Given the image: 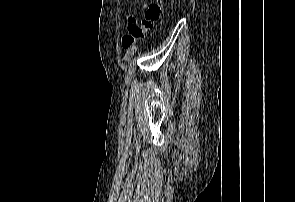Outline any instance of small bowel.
<instances>
[{
    "label": "small bowel",
    "mask_w": 295,
    "mask_h": 202,
    "mask_svg": "<svg viewBox=\"0 0 295 202\" xmlns=\"http://www.w3.org/2000/svg\"><path fill=\"white\" fill-rule=\"evenodd\" d=\"M147 6H148L147 3H142L139 6H137V9H145ZM128 20H129V22H132V23H136V21H137V19L134 15H130L128 17Z\"/></svg>",
    "instance_id": "1"
}]
</instances>
